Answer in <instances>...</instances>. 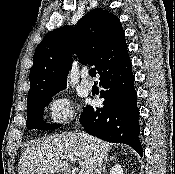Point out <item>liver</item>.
Returning <instances> with one entry per match:
<instances>
[{
  "instance_id": "obj_1",
  "label": "liver",
  "mask_w": 175,
  "mask_h": 174,
  "mask_svg": "<svg viewBox=\"0 0 175 174\" xmlns=\"http://www.w3.org/2000/svg\"><path fill=\"white\" fill-rule=\"evenodd\" d=\"M79 133L56 134L28 145L19 159L18 174H69L68 157L78 160L81 170L89 174L92 157L97 152L106 157L111 146L106 141Z\"/></svg>"
}]
</instances>
